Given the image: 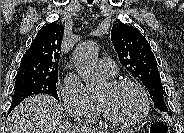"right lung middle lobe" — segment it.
Here are the masks:
<instances>
[{
    "instance_id": "obj_1",
    "label": "right lung middle lobe",
    "mask_w": 184,
    "mask_h": 133,
    "mask_svg": "<svg viewBox=\"0 0 184 133\" xmlns=\"http://www.w3.org/2000/svg\"><path fill=\"white\" fill-rule=\"evenodd\" d=\"M57 81L58 76L52 78L27 77L16 79L15 92L9 111L14 109L25 98L34 94H48L59 100L56 91Z\"/></svg>"
}]
</instances>
